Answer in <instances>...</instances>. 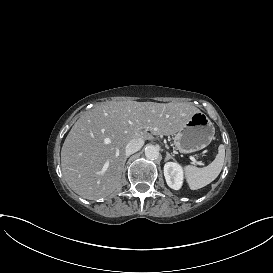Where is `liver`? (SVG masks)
<instances>
[{
  "label": "liver",
  "instance_id": "6515ba94",
  "mask_svg": "<svg viewBox=\"0 0 273 273\" xmlns=\"http://www.w3.org/2000/svg\"><path fill=\"white\" fill-rule=\"evenodd\" d=\"M197 112L200 110L187 103L127 100L95 105L79 118L64 141L61 166L68 186L90 200L111 194L119 186L131 139L172 135ZM102 168L107 169L105 174Z\"/></svg>",
  "mask_w": 273,
  "mask_h": 273
}]
</instances>
